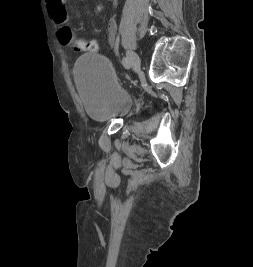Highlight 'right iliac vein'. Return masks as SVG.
Listing matches in <instances>:
<instances>
[{"label":"right iliac vein","instance_id":"63e3f726","mask_svg":"<svg viewBox=\"0 0 253 267\" xmlns=\"http://www.w3.org/2000/svg\"><path fill=\"white\" fill-rule=\"evenodd\" d=\"M127 57L130 60V64L135 72L140 70L141 60L140 57L133 51L127 52Z\"/></svg>","mask_w":253,"mask_h":267}]
</instances>
